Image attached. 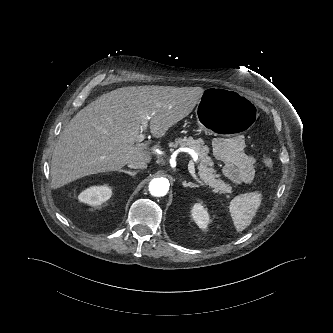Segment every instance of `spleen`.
Listing matches in <instances>:
<instances>
[{
	"label": "spleen",
	"mask_w": 333,
	"mask_h": 333,
	"mask_svg": "<svg viewBox=\"0 0 333 333\" xmlns=\"http://www.w3.org/2000/svg\"><path fill=\"white\" fill-rule=\"evenodd\" d=\"M261 194L251 192L238 195L230 201L229 211L237 232L247 228L261 204Z\"/></svg>",
	"instance_id": "spleen-1"
}]
</instances>
